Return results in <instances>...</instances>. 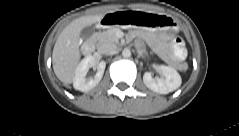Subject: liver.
Instances as JSON below:
<instances>
[{
  "label": "liver",
  "mask_w": 239,
  "mask_h": 136,
  "mask_svg": "<svg viewBox=\"0 0 239 136\" xmlns=\"http://www.w3.org/2000/svg\"><path fill=\"white\" fill-rule=\"evenodd\" d=\"M104 15L82 16L73 20L60 33L52 54L53 70L57 78L66 85L73 82L80 53V34L83 28L103 19Z\"/></svg>",
  "instance_id": "6515ba94"
}]
</instances>
